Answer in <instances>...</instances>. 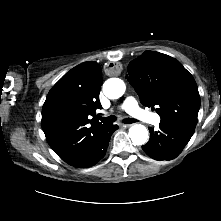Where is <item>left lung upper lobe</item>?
Instances as JSON below:
<instances>
[{
	"mask_svg": "<svg viewBox=\"0 0 221 221\" xmlns=\"http://www.w3.org/2000/svg\"><path fill=\"white\" fill-rule=\"evenodd\" d=\"M128 81L144 106L165 123H197L200 96L192 75L176 59L146 51L130 62Z\"/></svg>",
	"mask_w": 221,
	"mask_h": 221,
	"instance_id": "obj_1",
	"label": "left lung upper lobe"
}]
</instances>
